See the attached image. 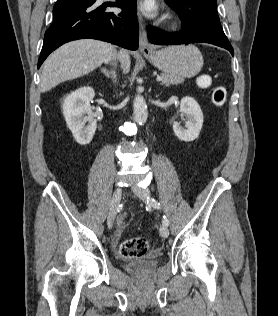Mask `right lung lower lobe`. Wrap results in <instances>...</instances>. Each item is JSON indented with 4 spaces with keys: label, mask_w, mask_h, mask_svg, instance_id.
Returning a JSON list of instances; mask_svg holds the SVG:
<instances>
[{
    "label": "right lung lower lobe",
    "mask_w": 278,
    "mask_h": 316,
    "mask_svg": "<svg viewBox=\"0 0 278 316\" xmlns=\"http://www.w3.org/2000/svg\"><path fill=\"white\" fill-rule=\"evenodd\" d=\"M96 0H57L54 21L44 36L38 68L47 56L64 43L98 39L136 50L138 48L137 0H117L97 5ZM107 7L122 8L114 14Z\"/></svg>",
    "instance_id": "obj_1"
}]
</instances>
